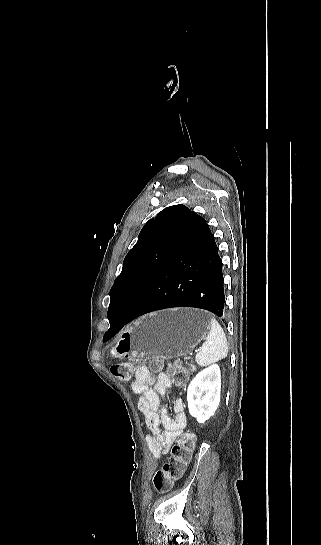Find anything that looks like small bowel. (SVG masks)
Segmentation results:
<instances>
[{
    "mask_svg": "<svg viewBox=\"0 0 321 545\" xmlns=\"http://www.w3.org/2000/svg\"><path fill=\"white\" fill-rule=\"evenodd\" d=\"M173 381V376L168 372L155 375L149 367L140 366L131 385L134 393L139 396L138 408L144 414L146 425L150 430L146 440L153 457L157 460L168 453L175 439L187 425L182 399L174 401L173 415L160 399Z\"/></svg>",
    "mask_w": 321,
    "mask_h": 545,
    "instance_id": "1",
    "label": "small bowel"
}]
</instances>
